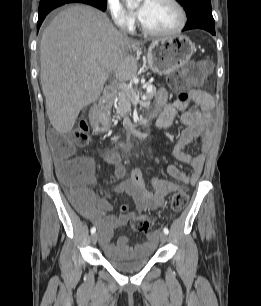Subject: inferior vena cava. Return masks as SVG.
<instances>
[{"instance_id": "obj_1", "label": "inferior vena cava", "mask_w": 261, "mask_h": 306, "mask_svg": "<svg viewBox=\"0 0 261 306\" xmlns=\"http://www.w3.org/2000/svg\"><path fill=\"white\" fill-rule=\"evenodd\" d=\"M121 31L124 33V36L127 37V30L124 25H120Z\"/></svg>"}]
</instances>
